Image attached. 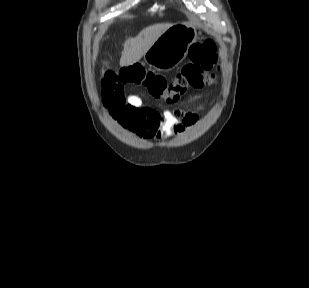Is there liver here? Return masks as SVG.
Listing matches in <instances>:
<instances>
[{"label":"liver","instance_id":"obj_1","mask_svg":"<svg viewBox=\"0 0 309 288\" xmlns=\"http://www.w3.org/2000/svg\"><path fill=\"white\" fill-rule=\"evenodd\" d=\"M172 25L173 24L170 23L151 25L143 29L137 37L127 39L124 43L120 66H129L139 61L157 38ZM104 72L105 71L102 70V74H104Z\"/></svg>","mask_w":309,"mask_h":288}]
</instances>
